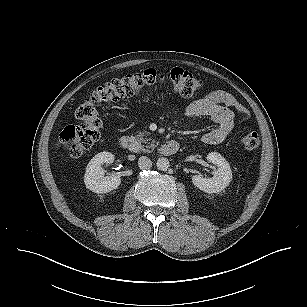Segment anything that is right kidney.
<instances>
[{
    "mask_svg": "<svg viewBox=\"0 0 307 307\" xmlns=\"http://www.w3.org/2000/svg\"><path fill=\"white\" fill-rule=\"evenodd\" d=\"M114 155L110 152H100L95 155L86 167L84 183L86 188L95 193H107L116 189L121 184L119 176H104L102 165L113 163Z\"/></svg>",
    "mask_w": 307,
    "mask_h": 307,
    "instance_id": "right-kidney-1",
    "label": "right kidney"
}]
</instances>
